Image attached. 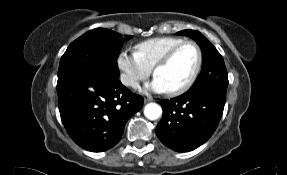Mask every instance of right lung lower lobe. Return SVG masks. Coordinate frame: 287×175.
<instances>
[{
	"mask_svg": "<svg viewBox=\"0 0 287 175\" xmlns=\"http://www.w3.org/2000/svg\"><path fill=\"white\" fill-rule=\"evenodd\" d=\"M61 120L72 140L91 152L106 151L120 140L143 98L119 80L78 73L57 82Z\"/></svg>",
	"mask_w": 287,
	"mask_h": 175,
	"instance_id": "1",
	"label": "right lung lower lobe"
}]
</instances>
